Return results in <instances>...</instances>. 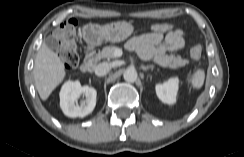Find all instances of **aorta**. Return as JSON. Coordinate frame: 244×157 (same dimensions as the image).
<instances>
[{"label": "aorta", "instance_id": "1", "mask_svg": "<svg viewBox=\"0 0 244 157\" xmlns=\"http://www.w3.org/2000/svg\"><path fill=\"white\" fill-rule=\"evenodd\" d=\"M123 77L127 82H135L137 80V72L134 68H128L125 70Z\"/></svg>", "mask_w": 244, "mask_h": 157}]
</instances>
